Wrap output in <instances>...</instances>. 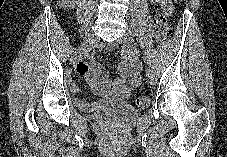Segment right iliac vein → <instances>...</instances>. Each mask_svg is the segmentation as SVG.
I'll use <instances>...</instances> for the list:
<instances>
[{"label":"right iliac vein","mask_w":227,"mask_h":157,"mask_svg":"<svg viewBox=\"0 0 227 157\" xmlns=\"http://www.w3.org/2000/svg\"><path fill=\"white\" fill-rule=\"evenodd\" d=\"M97 42L98 38L95 35L90 36L75 52L72 59L73 64H76L78 61H80L84 55L95 46Z\"/></svg>","instance_id":"obj_1"}]
</instances>
